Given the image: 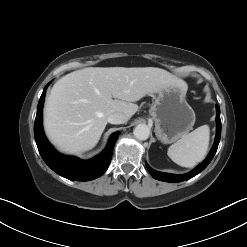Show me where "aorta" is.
I'll return each mask as SVG.
<instances>
[{"label":"aorta","mask_w":247,"mask_h":247,"mask_svg":"<svg viewBox=\"0 0 247 247\" xmlns=\"http://www.w3.org/2000/svg\"><path fill=\"white\" fill-rule=\"evenodd\" d=\"M133 134L138 140H147L149 138L150 128L146 124H139L135 127Z\"/></svg>","instance_id":"obj_1"}]
</instances>
